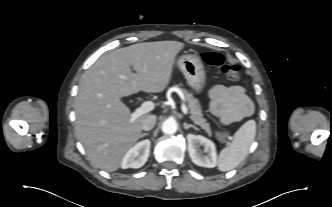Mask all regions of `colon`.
Listing matches in <instances>:
<instances>
[{"label":"colon","mask_w":332,"mask_h":207,"mask_svg":"<svg viewBox=\"0 0 332 207\" xmlns=\"http://www.w3.org/2000/svg\"><path fill=\"white\" fill-rule=\"evenodd\" d=\"M202 58L206 63L219 67L229 80L236 81L239 79L240 67L237 64L226 62L223 54L217 52H205L202 54ZM217 138L221 142H226L228 140V134L227 132L220 130L217 132Z\"/></svg>","instance_id":"colon-1"}]
</instances>
